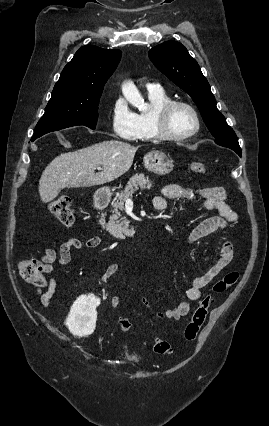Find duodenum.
Here are the masks:
<instances>
[{
    "label": "duodenum",
    "mask_w": 269,
    "mask_h": 426,
    "mask_svg": "<svg viewBox=\"0 0 269 426\" xmlns=\"http://www.w3.org/2000/svg\"><path fill=\"white\" fill-rule=\"evenodd\" d=\"M110 202V196L105 191H99L93 200V207L95 210L100 211L105 208Z\"/></svg>",
    "instance_id": "duodenum-1"
}]
</instances>
